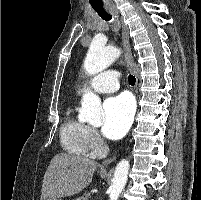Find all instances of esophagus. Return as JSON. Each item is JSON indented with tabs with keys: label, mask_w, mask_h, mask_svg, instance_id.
Instances as JSON below:
<instances>
[{
	"label": "esophagus",
	"mask_w": 201,
	"mask_h": 200,
	"mask_svg": "<svg viewBox=\"0 0 201 200\" xmlns=\"http://www.w3.org/2000/svg\"><path fill=\"white\" fill-rule=\"evenodd\" d=\"M110 12L119 19L121 24V35H122V44L124 48V59L127 67L129 70L135 75V77L138 79V72L133 60L131 47H130V40H129V30L127 25L124 23L122 16L120 15L119 11L117 9H110ZM116 159V156H113L112 158H109L104 161V165L107 166L111 162H113Z\"/></svg>",
	"instance_id": "obj_1"
}]
</instances>
